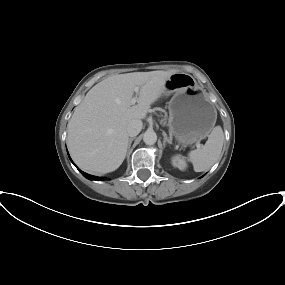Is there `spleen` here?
<instances>
[{
    "label": "spleen",
    "instance_id": "3e777b00",
    "mask_svg": "<svg viewBox=\"0 0 285 285\" xmlns=\"http://www.w3.org/2000/svg\"><path fill=\"white\" fill-rule=\"evenodd\" d=\"M223 142V130L220 126H216L204 145L189 152L188 159L193 164L195 172H202L213 166L220 157Z\"/></svg>",
    "mask_w": 285,
    "mask_h": 285
}]
</instances>
